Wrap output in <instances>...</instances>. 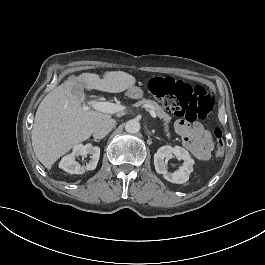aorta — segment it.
<instances>
[{
  "label": "aorta",
  "instance_id": "1",
  "mask_svg": "<svg viewBox=\"0 0 265 265\" xmlns=\"http://www.w3.org/2000/svg\"><path fill=\"white\" fill-rule=\"evenodd\" d=\"M125 130H126V132L132 133V134L139 132V130H140L139 121L136 119H131V120L127 121L125 124Z\"/></svg>",
  "mask_w": 265,
  "mask_h": 265
}]
</instances>
